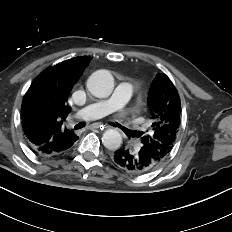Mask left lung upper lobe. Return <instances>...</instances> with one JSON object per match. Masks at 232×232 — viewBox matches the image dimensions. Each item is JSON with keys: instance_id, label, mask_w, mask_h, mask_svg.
<instances>
[{"instance_id": "1", "label": "left lung upper lobe", "mask_w": 232, "mask_h": 232, "mask_svg": "<svg viewBox=\"0 0 232 232\" xmlns=\"http://www.w3.org/2000/svg\"><path fill=\"white\" fill-rule=\"evenodd\" d=\"M147 104L153 124L148 133L138 132V137L142 142L141 150L160 164L171 152L181 122L180 96L167 75L155 77Z\"/></svg>"}]
</instances>
